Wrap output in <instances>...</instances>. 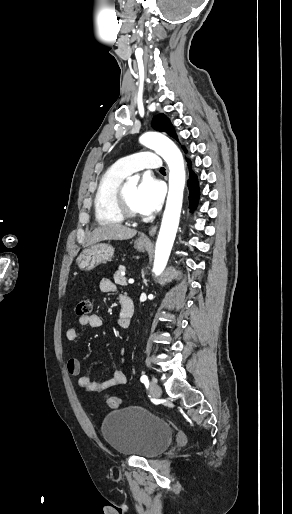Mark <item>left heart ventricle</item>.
Segmentation results:
<instances>
[{
  "instance_id": "obj_1",
  "label": "left heart ventricle",
  "mask_w": 292,
  "mask_h": 514,
  "mask_svg": "<svg viewBox=\"0 0 292 514\" xmlns=\"http://www.w3.org/2000/svg\"><path fill=\"white\" fill-rule=\"evenodd\" d=\"M136 190V186L124 185V198L131 210L141 213L136 200Z\"/></svg>"
}]
</instances>
